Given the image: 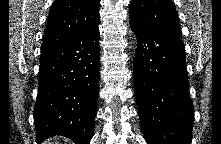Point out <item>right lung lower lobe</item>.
<instances>
[{"label": "right lung lower lobe", "mask_w": 221, "mask_h": 144, "mask_svg": "<svg viewBox=\"0 0 221 144\" xmlns=\"http://www.w3.org/2000/svg\"><path fill=\"white\" fill-rule=\"evenodd\" d=\"M99 28L41 52L34 109L36 141L54 135L89 144L99 94Z\"/></svg>", "instance_id": "right-lung-lower-lobe-1"}]
</instances>
